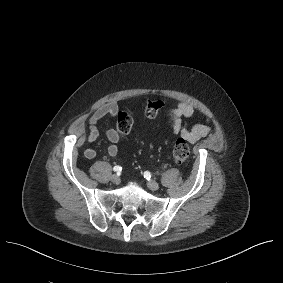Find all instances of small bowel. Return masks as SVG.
Wrapping results in <instances>:
<instances>
[{"label": "small bowel", "mask_w": 283, "mask_h": 283, "mask_svg": "<svg viewBox=\"0 0 283 283\" xmlns=\"http://www.w3.org/2000/svg\"><path fill=\"white\" fill-rule=\"evenodd\" d=\"M118 113V107L114 103H107L101 106L89 119V132L84 135V123L79 122L72 125V131L79 136L78 144L82 145L85 141L89 143L95 142L99 137L98 124L106 117L113 118ZM194 114V107L187 102H180L169 112L172 120L171 131L174 135H179L181 139L189 143H195L203 137H206L212 133V128L209 124H198L191 128L186 125V120L191 118ZM106 138L110 142L107 147V153L110 156H116L119 152L118 143L120 141V135L116 129H109L106 131ZM84 155L87 159H93L96 157L97 152L94 148H87L84 151Z\"/></svg>", "instance_id": "1"}]
</instances>
